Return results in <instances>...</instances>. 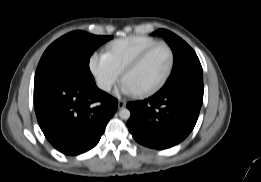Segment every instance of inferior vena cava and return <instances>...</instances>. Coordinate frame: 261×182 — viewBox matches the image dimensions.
I'll return each instance as SVG.
<instances>
[{
	"label": "inferior vena cava",
	"mask_w": 261,
	"mask_h": 182,
	"mask_svg": "<svg viewBox=\"0 0 261 182\" xmlns=\"http://www.w3.org/2000/svg\"><path fill=\"white\" fill-rule=\"evenodd\" d=\"M99 87L105 91H110L111 89V84L108 82H103L99 84Z\"/></svg>",
	"instance_id": "1"
}]
</instances>
